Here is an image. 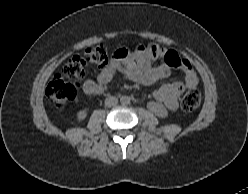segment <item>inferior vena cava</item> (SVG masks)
Wrapping results in <instances>:
<instances>
[{"label":"inferior vena cava","mask_w":248,"mask_h":194,"mask_svg":"<svg viewBox=\"0 0 248 194\" xmlns=\"http://www.w3.org/2000/svg\"><path fill=\"white\" fill-rule=\"evenodd\" d=\"M117 103H118V99L116 97L110 96V97L105 99V105L107 107L115 106V105H117Z\"/></svg>","instance_id":"obj_1"}]
</instances>
